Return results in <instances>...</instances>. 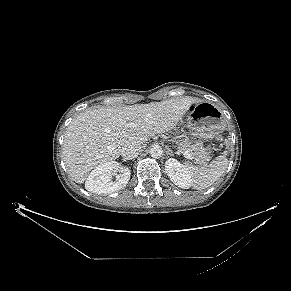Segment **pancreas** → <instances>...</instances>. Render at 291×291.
<instances>
[{
	"label": "pancreas",
	"mask_w": 291,
	"mask_h": 291,
	"mask_svg": "<svg viewBox=\"0 0 291 291\" xmlns=\"http://www.w3.org/2000/svg\"><path fill=\"white\" fill-rule=\"evenodd\" d=\"M178 144L180 152L188 151L196 163L206 166L211 160L210 153L203 147L200 141L192 143L187 136Z\"/></svg>",
	"instance_id": "pancreas-1"
}]
</instances>
